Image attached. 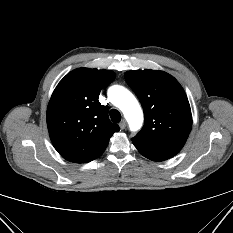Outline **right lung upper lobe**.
<instances>
[{
    "instance_id": "1",
    "label": "right lung upper lobe",
    "mask_w": 233,
    "mask_h": 233,
    "mask_svg": "<svg viewBox=\"0 0 233 233\" xmlns=\"http://www.w3.org/2000/svg\"><path fill=\"white\" fill-rule=\"evenodd\" d=\"M114 72L78 68L57 85L47 109L50 139L58 153L70 162L87 163L106 149L114 132L106 106L98 98L103 87L113 81Z\"/></svg>"
}]
</instances>
